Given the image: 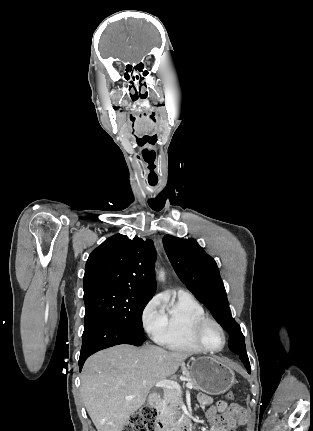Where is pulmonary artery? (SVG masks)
I'll return each mask as SVG.
<instances>
[{"mask_svg": "<svg viewBox=\"0 0 313 431\" xmlns=\"http://www.w3.org/2000/svg\"><path fill=\"white\" fill-rule=\"evenodd\" d=\"M184 292H186L185 290H183V289H180L179 290V293H184Z\"/></svg>", "mask_w": 313, "mask_h": 431, "instance_id": "obj_1", "label": "pulmonary artery"}]
</instances>
